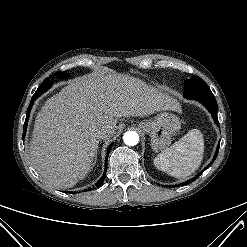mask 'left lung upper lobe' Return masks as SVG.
<instances>
[{
  "label": "left lung upper lobe",
  "instance_id": "5c2ea615",
  "mask_svg": "<svg viewBox=\"0 0 247 247\" xmlns=\"http://www.w3.org/2000/svg\"><path fill=\"white\" fill-rule=\"evenodd\" d=\"M184 97L195 99L214 97V95L200 77L192 76L185 81Z\"/></svg>",
  "mask_w": 247,
  "mask_h": 247
}]
</instances>
